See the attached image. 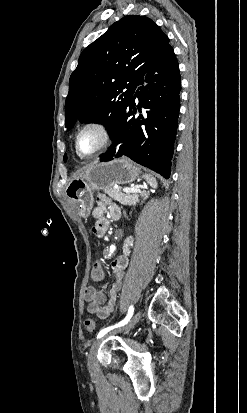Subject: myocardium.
<instances>
[{
    "instance_id": "obj_1",
    "label": "myocardium",
    "mask_w": 247,
    "mask_h": 413,
    "mask_svg": "<svg viewBox=\"0 0 247 413\" xmlns=\"http://www.w3.org/2000/svg\"><path fill=\"white\" fill-rule=\"evenodd\" d=\"M89 129H96L99 130L102 135H103V140L101 144L91 153L85 154L80 147V136L83 132ZM114 140V133L113 130L107 126L106 124L98 121H91L83 125L76 133L75 135V148L79 156H81L84 159H92L96 156H98L103 150H105L108 146L112 144Z\"/></svg>"
}]
</instances>
